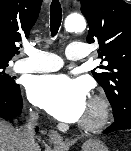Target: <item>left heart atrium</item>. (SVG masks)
Wrapping results in <instances>:
<instances>
[{
  "label": "left heart atrium",
  "mask_w": 131,
  "mask_h": 151,
  "mask_svg": "<svg viewBox=\"0 0 131 151\" xmlns=\"http://www.w3.org/2000/svg\"><path fill=\"white\" fill-rule=\"evenodd\" d=\"M29 100L65 122L80 120L87 107L85 84L63 74L33 77L27 85Z\"/></svg>",
  "instance_id": "1"
}]
</instances>
